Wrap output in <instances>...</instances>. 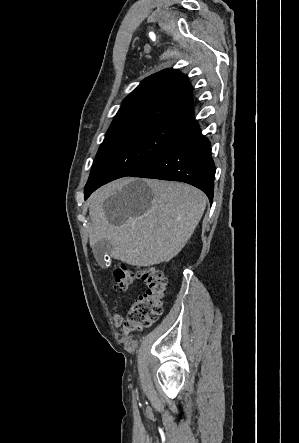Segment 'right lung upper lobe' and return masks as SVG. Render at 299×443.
I'll use <instances>...</instances> for the list:
<instances>
[{"mask_svg":"<svg viewBox=\"0 0 299 443\" xmlns=\"http://www.w3.org/2000/svg\"><path fill=\"white\" fill-rule=\"evenodd\" d=\"M193 113L191 84L179 71L166 69L143 80L124 99L107 133L143 120L184 122Z\"/></svg>","mask_w":299,"mask_h":443,"instance_id":"cb5924a9","label":"right lung upper lobe"}]
</instances>
